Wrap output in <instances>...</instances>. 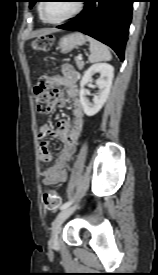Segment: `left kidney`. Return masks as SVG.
<instances>
[{
    "label": "left kidney",
    "instance_id": "5707ae66",
    "mask_svg": "<svg viewBox=\"0 0 158 275\" xmlns=\"http://www.w3.org/2000/svg\"><path fill=\"white\" fill-rule=\"evenodd\" d=\"M95 73H100V78L96 81V85L98 86L99 91L94 96L93 103H90L89 100L85 97V85L91 81L92 75ZM113 77L114 68L109 63H96L91 65L85 71L80 83L81 89L79 92V97L83 111L87 116H93L101 110L110 93Z\"/></svg>",
    "mask_w": 158,
    "mask_h": 275
}]
</instances>
